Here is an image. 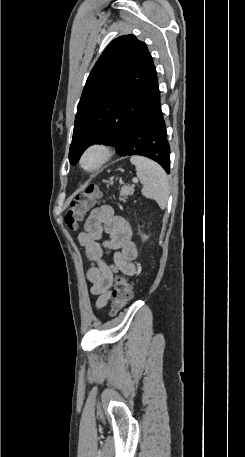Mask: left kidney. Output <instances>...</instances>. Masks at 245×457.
Segmentation results:
<instances>
[{"label": "left kidney", "instance_id": "left-kidney-1", "mask_svg": "<svg viewBox=\"0 0 245 457\" xmlns=\"http://www.w3.org/2000/svg\"><path fill=\"white\" fill-rule=\"evenodd\" d=\"M143 239L146 241V239H148L147 235H143Z\"/></svg>", "mask_w": 245, "mask_h": 457}]
</instances>
